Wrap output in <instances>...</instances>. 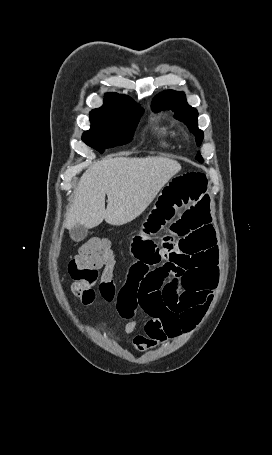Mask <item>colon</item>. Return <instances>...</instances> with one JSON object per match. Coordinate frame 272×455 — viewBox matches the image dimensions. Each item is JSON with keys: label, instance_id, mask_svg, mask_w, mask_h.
<instances>
[{"label": "colon", "instance_id": "5ec220e1", "mask_svg": "<svg viewBox=\"0 0 272 455\" xmlns=\"http://www.w3.org/2000/svg\"><path fill=\"white\" fill-rule=\"evenodd\" d=\"M115 263L109 240L95 237L85 242L68 264L73 297L82 305L92 303L97 294L106 301L115 300L118 293L113 279Z\"/></svg>", "mask_w": 272, "mask_h": 455}]
</instances>
